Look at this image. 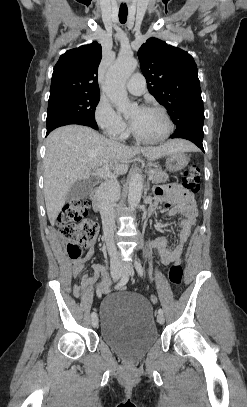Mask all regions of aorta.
<instances>
[{"label": "aorta", "mask_w": 247, "mask_h": 407, "mask_svg": "<svg viewBox=\"0 0 247 407\" xmlns=\"http://www.w3.org/2000/svg\"><path fill=\"white\" fill-rule=\"evenodd\" d=\"M138 62L131 56H119L106 73L103 91L113 103L118 113L128 114L134 108L129 101L125 84L136 69ZM143 190V177L139 172L131 176L128 190V204L131 208L138 206Z\"/></svg>", "instance_id": "1"}]
</instances>
